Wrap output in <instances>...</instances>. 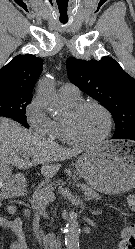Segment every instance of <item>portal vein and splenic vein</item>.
<instances>
[{
    "label": "portal vein and splenic vein",
    "instance_id": "18ae733b",
    "mask_svg": "<svg viewBox=\"0 0 135 249\" xmlns=\"http://www.w3.org/2000/svg\"><path fill=\"white\" fill-rule=\"evenodd\" d=\"M49 199L50 201H53L55 199V195L53 193L49 194Z\"/></svg>",
    "mask_w": 135,
    "mask_h": 249
}]
</instances>
